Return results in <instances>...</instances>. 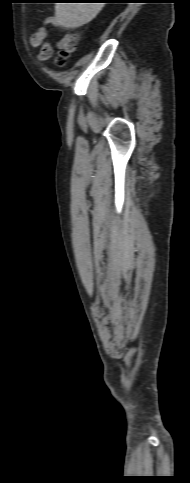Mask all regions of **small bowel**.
<instances>
[{"instance_id":"obj_1","label":"small bowel","mask_w":190,"mask_h":483,"mask_svg":"<svg viewBox=\"0 0 190 483\" xmlns=\"http://www.w3.org/2000/svg\"><path fill=\"white\" fill-rule=\"evenodd\" d=\"M58 21L55 17H47L44 21V25L34 32L30 37V44L34 48H40L38 58L41 61L48 60L53 53V47L50 42L47 41L49 36V30L53 26H57ZM70 42V35L65 34L57 43L58 47L63 48Z\"/></svg>"}]
</instances>
